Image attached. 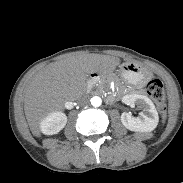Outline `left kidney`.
Here are the masks:
<instances>
[{
  "label": "left kidney",
  "mask_w": 183,
  "mask_h": 183,
  "mask_svg": "<svg viewBox=\"0 0 183 183\" xmlns=\"http://www.w3.org/2000/svg\"><path fill=\"white\" fill-rule=\"evenodd\" d=\"M122 102L129 105L136 104L142 110L137 117L127 112L121 114V122L125 128L135 132H151L157 127L159 122L158 112L148 97L128 94L122 97Z\"/></svg>",
  "instance_id": "left-kidney-1"
}]
</instances>
